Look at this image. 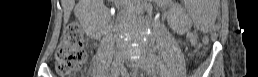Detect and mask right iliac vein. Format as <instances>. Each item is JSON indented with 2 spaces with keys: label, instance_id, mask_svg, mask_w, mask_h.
Returning a JSON list of instances; mask_svg holds the SVG:
<instances>
[{
  "label": "right iliac vein",
  "instance_id": "1",
  "mask_svg": "<svg viewBox=\"0 0 258 77\" xmlns=\"http://www.w3.org/2000/svg\"><path fill=\"white\" fill-rule=\"evenodd\" d=\"M123 62H124L123 54H117L114 58V61H113L112 71H113L114 74H119L120 72H122Z\"/></svg>",
  "mask_w": 258,
  "mask_h": 77
}]
</instances>
